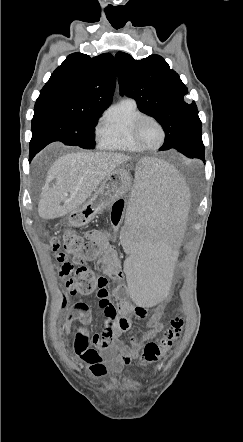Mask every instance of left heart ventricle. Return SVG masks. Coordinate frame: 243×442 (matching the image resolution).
I'll list each match as a JSON object with an SVG mask.
<instances>
[{
  "label": "left heart ventricle",
  "mask_w": 243,
  "mask_h": 442,
  "mask_svg": "<svg viewBox=\"0 0 243 442\" xmlns=\"http://www.w3.org/2000/svg\"><path fill=\"white\" fill-rule=\"evenodd\" d=\"M161 136V130L155 122L146 120L140 125L139 137L145 145H157L161 140Z\"/></svg>",
  "instance_id": "obj_1"
}]
</instances>
